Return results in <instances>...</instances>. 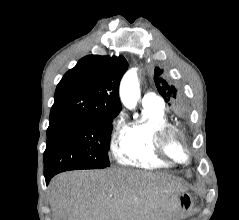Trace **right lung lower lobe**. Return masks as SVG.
Listing matches in <instances>:
<instances>
[{
  "mask_svg": "<svg viewBox=\"0 0 239 220\" xmlns=\"http://www.w3.org/2000/svg\"><path fill=\"white\" fill-rule=\"evenodd\" d=\"M53 176H45V179H46V184L49 183V180L52 178Z\"/></svg>",
  "mask_w": 239,
  "mask_h": 220,
  "instance_id": "obj_1",
  "label": "right lung lower lobe"
}]
</instances>
